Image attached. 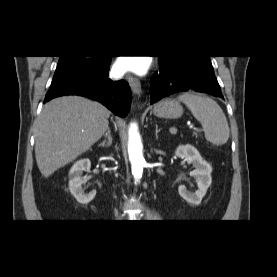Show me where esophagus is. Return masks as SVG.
Segmentation results:
<instances>
[{"instance_id": "esophagus-1", "label": "esophagus", "mask_w": 277, "mask_h": 277, "mask_svg": "<svg viewBox=\"0 0 277 277\" xmlns=\"http://www.w3.org/2000/svg\"><path fill=\"white\" fill-rule=\"evenodd\" d=\"M126 79L129 83V86L133 92L134 95L140 97L141 96V93H142V90H141V84H140V81L139 79H137L136 77L128 74L126 76Z\"/></svg>"}]
</instances>
